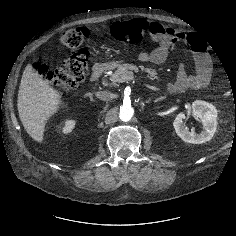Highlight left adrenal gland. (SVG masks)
Segmentation results:
<instances>
[{
    "instance_id": "obj_1",
    "label": "left adrenal gland",
    "mask_w": 236,
    "mask_h": 236,
    "mask_svg": "<svg viewBox=\"0 0 236 236\" xmlns=\"http://www.w3.org/2000/svg\"><path fill=\"white\" fill-rule=\"evenodd\" d=\"M164 99H166L165 96H164V97H160V98L155 99L154 102L156 103V102L161 101V100H164Z\"/></svg>"
}]
</instances>
